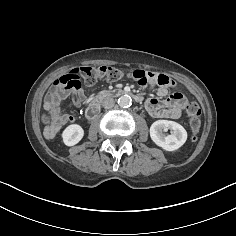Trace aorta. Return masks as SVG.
Segmentation results:
<instances>
[{"mask_svg":"<svg viewBox=\"0 0 236 236\" xmlns=\"http://www.w3.org/2000/svg\"><path fill=\"white\" fill-rule=\"evenodd\" d=\"M118 105L121 108H128L132 105V98L129 95H122L118 99Z\"/></svg>","mask_w":236,"mask_h":236,"instance_id":"1","label":"aorta"}]
</instances>
